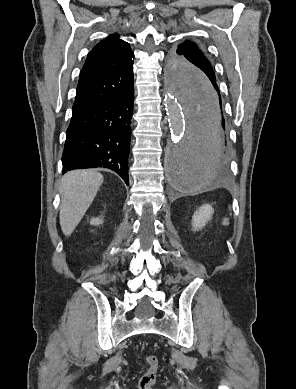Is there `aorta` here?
Wrapping results in <instances>:
<instances>
[{"mask_svg": "<svg viewBox=\"0 0 296 389\" xmlns=\"http://www.w3.org/2000/svg\"><path fill=\"white\" fill-rule=\"evenodd\" d=\"M169 189H207L221 161L217 130L219 93L194 67H165Z\"/></svg>", "mask_w": 296, "mask_h": 389, "instance_id": "1", "label": "aorta"}]
</instances>
